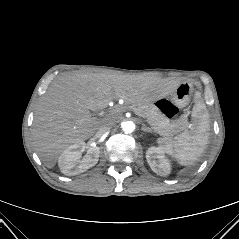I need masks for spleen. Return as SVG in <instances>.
Segmentation results:
<instances>
[{"mask_svg": "<svg viewBox=\"0 0 239 239\" xmlns=\"http://www.w3.org/2000/svg\"><path fill=\"white\" fill-rule=\"evenodd\" d=\"M194 103L190 130L174 138L165 137L157 140L159 148L184 166L193 164L202 155L210 134L209 114L199 93L196 94Z\"/></svg>", "mask_w": 239, "mask_h": 239, "instance_id": "3e777b00", "label": "spleen"}]
</instances>
